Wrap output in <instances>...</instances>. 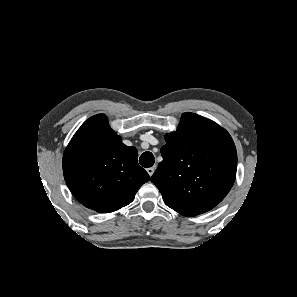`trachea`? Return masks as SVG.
Listing matches in <instances>:
<instances>
[{
  "label": "trachea",
  "mask_w": 297,
  "mask_h": 297,
  "mask_svg": "<svg viewBox=\"0 0 297 297\" xmlns=\"http://www.w3.org/2000/svg\"><path fill=\"white\" fill-rule=\"evenodd\" d=\"M154 161V155L148 151L144 152L139 158V163L145 168L152 167L154 165Z\"/></svg>",
  "instance_id": "trachea-1"
}]
</instances>
